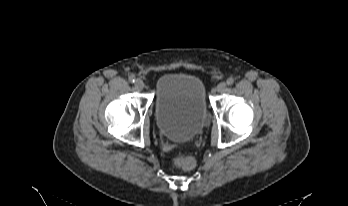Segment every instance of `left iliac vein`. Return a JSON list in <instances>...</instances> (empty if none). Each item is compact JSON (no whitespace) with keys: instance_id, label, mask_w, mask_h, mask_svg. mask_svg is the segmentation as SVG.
Instances as JSON below:
<instances>
[{"instance_id":"1","label":"left iliac vein","mask_w":348,"mask_h":206,"mask_svg":"<svg viewBox=\"0 0 348 206\" xmlns=\"http://www.w3.org/2000/svg\"><path fill=\"white\" fill-rule=\"evenodd\" d=\"M226 89V83L225 82H220L218 85H217V91L218 92H224Z\"/></svg>"}]
</instances>
